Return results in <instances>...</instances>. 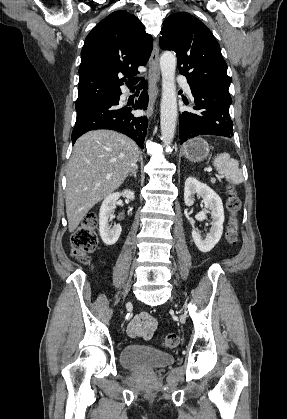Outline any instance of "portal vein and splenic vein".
<instances>
[{"instance_id": "obj_1", "label": "portal vein and splenic vein", "mask_w": 287, "mask_h": 419, "mask_svg": "<svg viewBox=\"0 0 287 419\" xmlns=\"http://www.w3.org/2000/svg\"><path fill=\"white\" fill-rule=\"evenodd\" d=\"M207 171L210 172V171H212V169L211 168H208ZM212 181L214 182L215 179H212Z\"/></svg>"}]
</instances>
